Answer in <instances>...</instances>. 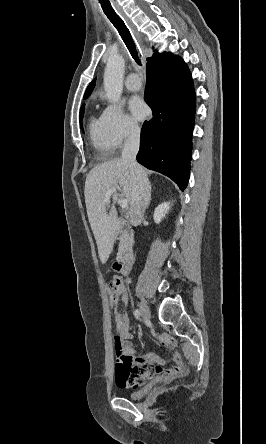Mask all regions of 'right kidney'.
Returning a JSON list of instances; mask_svg holds the SVG:
<instances>
[{
    "mask_svg": "<svg viewBox=\"0 0 266 444\" xmlns=\"http://www.w3.org/2000/svg\"><path fill=\"white\" fill-rule=\"evenodd\" d=\"M170 210V202H164L161 203L160 205H158V207H156L155 211H154V221L159 224L161 222V220L165 217V215L168 213V211Z\"/></svg>",
    "mask_w": 266,
    "mask_h": 444,
    "instance_id": "right-kidney-1",
    "label": "right kidney"
}]
</instances>
